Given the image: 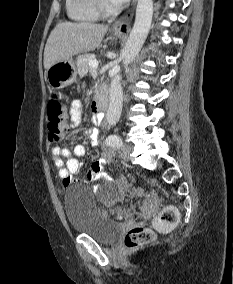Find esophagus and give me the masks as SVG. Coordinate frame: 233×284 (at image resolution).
<instances>
[{
  "mask_svg": "<svg viewBox=\"0 0 233 284\" xmlns=\"http://www.w3.org/2000/svg\"><path fill=\"white\" fill-rule=\"evenodd\" d=\"M136 0H133L132 7L112 25V31L120 34H127L131 29Z\"/></svg>",
  "mask_w": 233,
  "mask_h": 284,
  "instance_id": "1",
  "label": "esophagus"
}]
</instances>
